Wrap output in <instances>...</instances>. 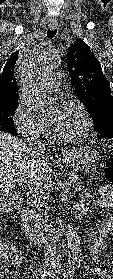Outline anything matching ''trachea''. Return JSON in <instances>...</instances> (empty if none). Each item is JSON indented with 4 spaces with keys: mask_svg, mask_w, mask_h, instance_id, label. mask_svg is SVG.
<instances>
[{
    "mask_svg": "<svg viewBox=\"0 0 113 279\" xmlns=\"http://www.w3.org/2000/svg\"><path fill=\"white\" fill-rule=\"evenodd\" d=\"M55 35H56V30L48 29V31H47V37L48 38H53Z\"/></svg>",
    "mask_w": 113,
    "mask_h": 279,
    "instance_id": "1",
    "label": "trachea"
}]
</instances>
